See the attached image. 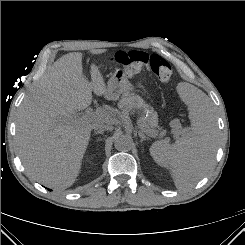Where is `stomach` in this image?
Wrapping results in <instances>:
<instances>
[{
    "label": "stomach",
    "mask_w": 245,
    "mask_h": 245,
    "mask_svg": "<svg viewBox=\"0 0 245 245\" xmlns=\"http://www.w3.org/2000/svg\"><path fill=\"white\" fill-rule=\"evenodd\" d=\"M137 87L144 90L141 83ZM134 85L129 81V77L121 68L116 69L113 76L109 79L107 85V97L109 99H118L120 96L127 94L129 91L134 90Z\"/></svg>",
    "instance_id": "stomach-1"
}]
</instances>
